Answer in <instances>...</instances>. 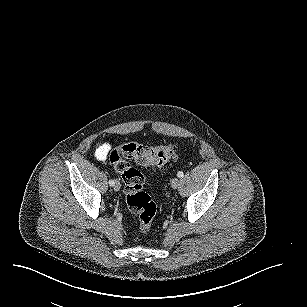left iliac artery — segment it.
Here are the masks:
<instances>
[{"label":"left iliac artery","mask_w":307,"mask_h":307,"mask_svg":"<svg viewBox=\"0 0 307 307\" xmlns=\"http://www.w3.org/2000/svg\"><path fill=\"white\" fill-rule=\"evenodd\" d=\"M177 176H178L179 178H183L184 173H183L182 171H179V172L177 173Z\"/></svg>","instance_id":"left-iliac-artery-1"}]
</instances>
